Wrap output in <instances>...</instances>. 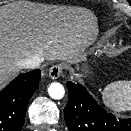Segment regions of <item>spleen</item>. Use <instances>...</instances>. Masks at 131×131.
I'll return each mask as SVG.
<instances>
[{
    "label": "spleen",
    "mask_w": 131,
    "mask_h": 131,
    "mask_svg": "<svg viewBox=\"0 0 131 131\" xmlns=\"http://www.w3.org/2000/svg\"><path fill=\"white\" fill-rule=\"evenodd\" d=\"M103 100L116 111L131 110V81H116L102 92Z\"/></svg>",
    "instance_id": "3e777b00"
}]
</instances>
